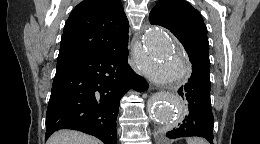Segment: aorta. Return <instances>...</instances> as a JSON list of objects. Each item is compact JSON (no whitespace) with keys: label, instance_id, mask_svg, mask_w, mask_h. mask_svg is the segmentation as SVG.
Returning <instances> with one entry per match:
<instances>
[{"label":"aorta","instance_id":"obj_1","mask_svg":"<svg viewBox=\"0 0 260 144\" xmlns=\"http://www.w3.org/2000/svg\"><path fill=\"white\" fill-rule=\"evenodd\" d=\"M144 56L138 66L155 84H176L187 75V59L180 46L163 28L150 26L143 37ZM181 99L174 93H157L148 100L153 120L176 125L181 119Z\"/></svg>","mask_w":260,"mask_h":144}]
</instances>
